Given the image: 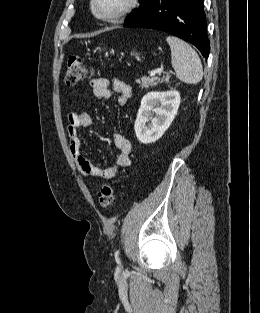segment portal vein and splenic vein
Here are the masks:
<instances>
[{
  "label": "portal vein and splenic vein",
  "mask_w": 260,
  "mask_h": 313,
  "mask_svg": "<svg viewBox=\"0 0 260 313\" xmlns=\"http://www.w3.org/2000/svg\"><path fill=\"white\" fill-rule=\"evenodd\" d=\"M162 73H165V71L163 69H155V70L151 71L150 76H155L156 74L161 75ZM172 73L173 72L170 71L167 73V75H170Z\"/></svg>",
  "instance_id": "portal-vein-and-splenic-vein-1"
}]
</instances>
